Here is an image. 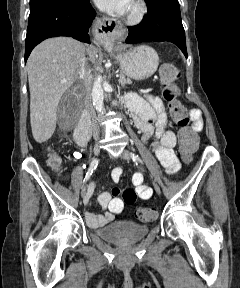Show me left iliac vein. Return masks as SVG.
Returning a JSON list of instances; mask_svg holds the SVG:
<instances>
[{
  "instance_id": "obj_1",
  "label": "left iliac vein",
  "mask_w": 240,
  "mask_h": 288,
  "mask_svg": "<svg viewBox=\"0 0 240 288\" xmlns=\"http://www.w3.org/2000/svg\"><path fill=\"white\" fill-rule=\"evenodd\" d=\"M120 156L121 158L125 159V160H130L131 159V154L129 153V151L127 150H123L121 153H120ZM153 186L155 188V191L157 192V194H161V190H160V187L158 186V184L153 181Z\"/></svg>"
}]
</instances>
